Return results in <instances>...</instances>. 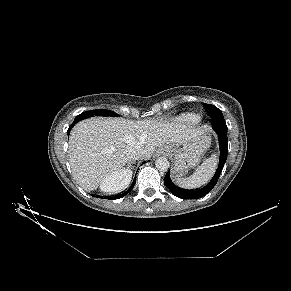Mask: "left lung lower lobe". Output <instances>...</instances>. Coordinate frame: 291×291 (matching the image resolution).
<instances>
[{
  "label": "left lung lower lobe",
  "instance_id": "left-lung-lower-lobe-1",
  "mask_svg": "<svg viewBox=\"0 0 291 291\" xmlns=\"http://www.w3.org/2000/svg\"><path fill=\"white\" fill-rule=\"evenodd\" d=\"M211 124L213 126V129L217 133L218 139H219V148H220L219 164H218V167L216 169L214 176L212 177V179L210 180V182L206 186H204L203 188H201L199 190L189 191L191 193L192 199H199V198L205 196L206 194H208L213 189V187L216 185V183L220 177V174L222 172V169H223L224 164H225L226 159H227L228 139H227L226 122H225V120H218V121L211 120ZM164 184L172 192L173 195L180 197V198H183L181 193H182V191H184V189L177 187L172 182V180L170 178L169 171L164 177Z\"/></svg>",
  "mask_w": 291,
  "mask_h": 291
}]
</instances>
